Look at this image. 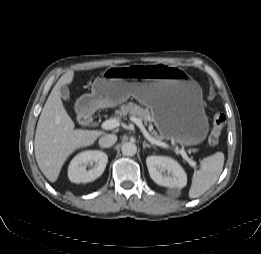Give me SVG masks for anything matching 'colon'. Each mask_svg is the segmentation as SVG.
I'll return each mask as SVG.
<instances>
[{
  "label": "colon",
  "mask_w": 261,
  "mask_h": 254,
  "mask_svg": "<svg viewBox=\"0 0 261 254\" xmlns=\"http://www.w3.org/2000/svg\"><path fill=\"white\" fill-rule=\"evenodd\" d=\"M225 123L226 117L222 113H216L213 116V127L208 139L209 146L213 147L218 144Z\"/></svg>",
  "instance_id": "5ec220e1"
}]
</instances>
